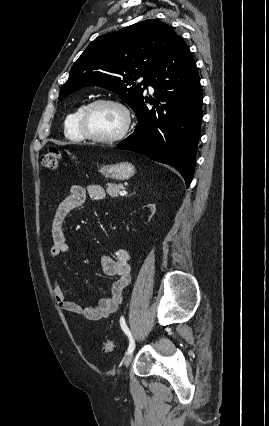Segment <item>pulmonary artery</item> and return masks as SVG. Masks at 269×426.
I'll list each match as a JSON object with an SVG mask.
<instances>
[{"instance_id": "pulmonary-artery-1", "label": "pulmonary artery", "mask_w": 269, "mask_h": 426, "mask_svg": "<svg viewBox=\"0 0 269 426\" xmlns=\"http://www.w3.org/2000/svg\"><path fill=\"white\" fill-rule=\"evenodd\" d=\"M148 89H149V91H151V92H153L154 91V89H153V87H152V85L151 84H148Z\"/></svg>"}]
</instances>
